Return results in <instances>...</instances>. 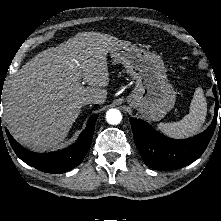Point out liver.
Masks as SVG:
<instances>
[{
  "instance_id": "liver-1",
  "label": "liver",
  "mask_w": 221,
  "mask_h": 221,
  "mask_svg": "<svg viewBox=\"0 0 221 221\" xmlns=\"http://www.w3.org/2000/svg\"><path fill=\"white\" fill-rule=\"evenodd\" d=\"M118 41L99 32L74 38L37 54L10 81L3 120L25 147L44 152L67 136L85 99L103 104L109 84L107 54ZM89 85L84 87L80 79Z\"/></svg>"
}]
</instances>
